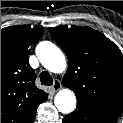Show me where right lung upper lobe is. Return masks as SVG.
Segmentation results:
<instances>
[{"label":"right lung upper lobe","instance_id":"1","mask_svg":"<svg viewBox=\"0 0 123 123\" xmlns=\"http://www.w3.org/2000/svg\"><path fill=\"white\" fill-rule=\"evenodd\" d=\"M43 28L11 26L1 29V123H32L37 107L48 94L35 86L29 65V47L43 35Z\"/></svg>","mask_w":123,"mask_h":123}]
</instances>
